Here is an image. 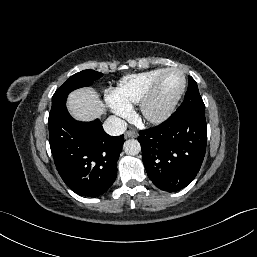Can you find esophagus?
<instances>
[{
  "instance_id": "esophagus-1",
  "label": "esophagus",
  "mask_w": 257,
  "mask_h": 257,
  "mask_svg": "<svg viewBox=\"0 0 257 257\" xmlns=\"http://www.w3.org/2000/svg\"><path fill=\"white\" fill-rule=\"evenodd\" d=\"M137 133L135 131L129 130L125 133V138H136Z\"/></svg>"
}]
</instances>
